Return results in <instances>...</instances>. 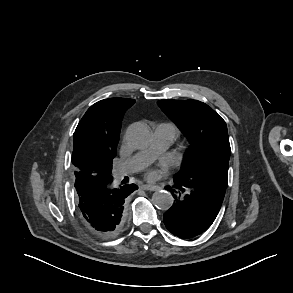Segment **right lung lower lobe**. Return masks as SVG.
Instances as JSON below:
<instances>
[{"instance_id":"98d812e1","label":"right lung lower lobe","mask_w":293,"mask_h":293,"mask_svg":"<svg viewBox=\"0 0 293 293\" xmlns=\"http://www.w3.org/2000/svg\"><path fill=\"white\" fill-rule=\"evenodd\" d=\"M113 177L75 172L76 199L86 228L102 238L117 235L124 224V202L135 184L112 187Z\"/></svg>"}]
</instances>
